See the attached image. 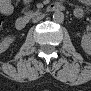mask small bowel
<instances>
[{
	"label": "small bowel",
	"instance_id": "small-bowel-1",
	"mask_svg": "<svg viewBox=\"0 0 91 91\" xmlns=\"http://www.w3.org/2000/svg\"><path fill=\"white\" fill-rule=\"evenodd\" d=\"M10 12V7L8 6V8L4 11V13H9Z\"/></svg>",
	"mask_w": 91,
	"mask_h": 91
}]
</instances>
